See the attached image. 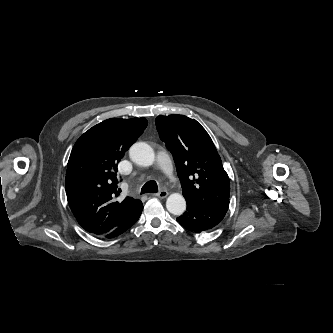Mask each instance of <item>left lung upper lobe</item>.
Here are the masks:
<instances>
[{"mask_svg": "<svg viewBox=\"0 0 333 333\" xmlns=\"http://www.w3.org/2000/svg\"><path fill=\"white\" fill-rule=\"evenodd\" d=\"M156 127L173 155L185 199L200 208L226 213L229 178L205 129L184 115H159Z\"/></svg>", "mask_w": 333, "mask_h": 333, "instance_id": "1", "label": "left lung upper lobe"}]
</instances>
